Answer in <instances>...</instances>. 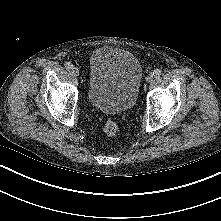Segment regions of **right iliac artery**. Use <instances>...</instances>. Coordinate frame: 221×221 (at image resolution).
Here are the masks:
<instances>
[{"label":"right iliac artery","instance_id":"obj_1","mask_svg":"<svg viewBox=\"0 0 221 221\" xmlns=\"http://www.w3.org/2000/svg\"><path fill=\"white\" fill-rule=\"evenodd\" d=\"M73 67H74L73 64L70 63V62H67V63L65 64V68H66L67 70H72Z\"/></svg>","mask_w":221,"mask_h":221}]
</instances>
